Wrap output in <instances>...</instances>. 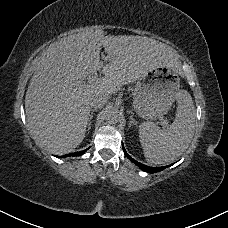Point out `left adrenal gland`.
Listing matches in <instances>:
<instances>
[{"instance_id": "left-adrenal-gland-1", "label": "left adrenal gland", "mask_w": 228, "mask_h": 228, "mask_svg": "<svg viewBox=\"0 0 228 228\" xmlns=\"http://www.w3.org/2000/svg\"><path fill=\"white\" fill-rule=\"evenodd\" d=\"M134 113L131 111V115H130V121H129V127L133 125H137V122L135 121V119L133 118Z\"/></svg>"}]
</instances>
